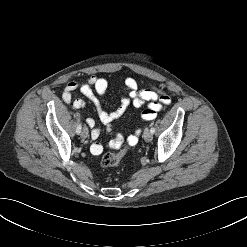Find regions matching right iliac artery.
Masks as SVG:
<instances>
[{
	"label": "right iliac artery",
	"instance_id": "1",
	"mask_svg": "<svg viewBox=\"0 0 247 247\" xmlns=\"http://www.w3.org/2000/svg\"><path fill=\"white\" fill-rule=\"evenodd\" d=\"M82 125L81 123L77 126L76 133L79 134L81 132Z\"/></svg>",
	"mask_w": 247,
	"mask_h": 247
}]
</instances>
